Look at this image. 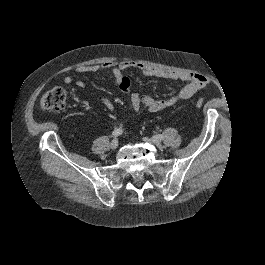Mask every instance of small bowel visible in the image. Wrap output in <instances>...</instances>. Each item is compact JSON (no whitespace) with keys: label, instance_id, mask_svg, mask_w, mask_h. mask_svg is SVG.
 Segmentation results:
<instances>
[{"label":"small bowel","instance_id":"c3829d8e","mask_svg":"<svg viewBox=\"0 0 265 265\" xmlns=\"http://www.w3.org/2000/svg\"><path fill=\"white\" fill-rule=\"evenodd\" d=\"M131 68L138 69L144 76L147 77H162L186 82V85L178 93L164 99H155L139 93H132L130 95V100L132 108L135 111H139L142 107H144L152 113L162 112L190 99L208 83V80L200 74L186 71L162 70L135 61L106 62L103 64L81 66L76 69V73L83 74L87 72L105 70L111 71L120 90L129 94L131 81L124 75V71ZM64 83L66 85L75 83L79 89H85L84 82L81 80L75 81L72 76H66L64 78ZM99 100L108 111L113 112L115 110L113 102L108 97L100 96Z\"/></svg>","mask_w":265,"mask_h":265}]
</instances>
